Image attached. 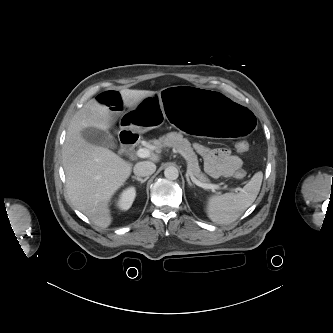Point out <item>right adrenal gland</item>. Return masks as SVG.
<instances>
[{"label":"right adrenal gland","instance_id":"2a0ac1e0","mask_svg":"<svg viewBox=\"0 0 333 333\" xmlns=\"http://www.w3.org/2000/svg\"><path fill=\"white\" fill-rule=\"evenodd\" d=\"M132 179L140 181V183L142 184V183L146 182L149 179V177L142 179L141 177L132 176Z\"/></svg>","mask_w":333,"mask_h":333}]
</instances>
